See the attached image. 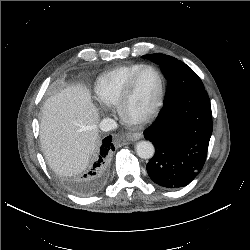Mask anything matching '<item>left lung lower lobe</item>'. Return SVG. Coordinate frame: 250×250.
Returning <instances> with one entry per match:
<instances>
[{
	"label": "left lung lower lobe",
	"mask_w": 250,
	"mask_h": 250,
	"mask_svg": "<svg viewBox=\"0 0 250 250\" xmlns=\"http://www.w3.org/2000/svg\"><path fill=\"white\" fill-rule=\"evenodd\" d=\"M212 112L205 90L183 95L164 104L156 120L144 131L155 155L146 168L158 185H188L201 171L212 134Z\"/></svg>",
	"instance_id": "obj_1"
}]
</instances>
